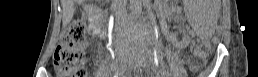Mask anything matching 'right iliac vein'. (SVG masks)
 Listing matches in <instances>:
<instances>
[{"label":"right iliac vein","instance_id":"63e3f726","mask_svg":"<svg viewBox=\"0 0 258 77\" xmlns=\"http://www.w3.org/2000/svg\"><path fill=\"white\" fill-rule=\"evenodd\" d=\"M123 58V55H117V60L116 62L118 63L119 60H121Z\"/></svg>","mask_w":258,"mask_h":77}]
</instances>
